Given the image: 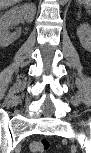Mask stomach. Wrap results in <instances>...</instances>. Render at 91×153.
Returning a JSON list of instances; mask_svg holds the SVG:
<instances>
[{"mask_svg":"<svg viewBox=\"0 0 91 153\" xmlns=\"http://www.w3.org/2000/svg\"><path fill=\"white\" fill-rule=\"evenodd\" d=\"M85 3H86V4H88V3H89V1H85Z\"/></svg>","mask_w":91,"mask_h":153,"instance_id":"stomach-1","label":"stomach"}]
</instances>
